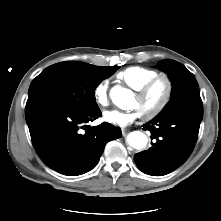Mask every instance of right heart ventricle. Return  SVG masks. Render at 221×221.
Instances as JSON below:
<instances>
[{"label": "right heart ventricle", "instance_id": "right-heart-ventricle-1", "mask_svg": "<svg viewBox=\"0 0 221 221\" xmlns=\"http://www.w3.org/2000/svg\"><path fill=\"white\" fill-rule=\"evenodd\" d=\"M158 75L159 73L156 70L140 66H133L120 72L117 77L131 89L137 90L146 82Z\"/></svg>", "mask_w": 221, "mask_h": 221}]
</instances>
